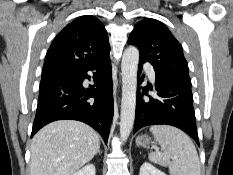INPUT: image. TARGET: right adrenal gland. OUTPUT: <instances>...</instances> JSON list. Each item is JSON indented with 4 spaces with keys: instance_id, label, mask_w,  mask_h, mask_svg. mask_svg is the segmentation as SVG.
I'll return each mask as SVG.
<instances>
[{
    "instance_id": "right-adrenal-gland-1",
    "label": "right adrenal gland",
    "mask_w": 233,
    "mask_h": 175,
    "mask_svg": "<svg viewBox=\"0 0 233 175\" xmlns=\"http://www.w3.org/2000/svg\"><path fill=\"white\" fill-rule=\"evenodd\" d=\"M98 154H99V155L102 154V152H101V150H100V146H99V148H98Z\"/></svg>"
}]
</instances>
